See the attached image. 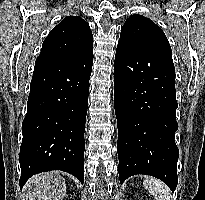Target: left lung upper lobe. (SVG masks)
Returning <instances> with one entry per match:
<instances>
[{
    "label": "left lung upper lobe",
    "mask_w": 205,
    "mask_h": 200,
    "mask_svg": "<svg viewBox=\"0 0 205 200\" xmlns=\"http://www.w3.org/2000/svg\"><path fill=\"white\" fill-rule=\"evenodd\" d=\"M118 44L133 49L169 46V42L160 27L142 15H132L126 20Z\"/></svg>",
    "instance_id": "5c2ea615"
}]
</instances>
